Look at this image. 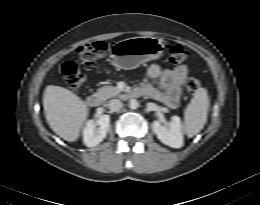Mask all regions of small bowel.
Returning a JSON list of instances; mask_svg holds the SVG:
<instances>
[{"instance_id": "obj_1", "label": "small bowel", "mask_w": 260, "mask_h": 205, "mask_svg": "<svg viewBox=\"0 0 260 205\" xmlns=\"http://www.w3.org/2000/svg\"><path fill=\"white\" fill-rule=\"evenodd\" d=\"M187 73L188 69L185 65L162 68L157 64H152L147 70L148 82L140 90L143 95L162 102L169 108H176Z\"/></svg>"}]
</instances>
